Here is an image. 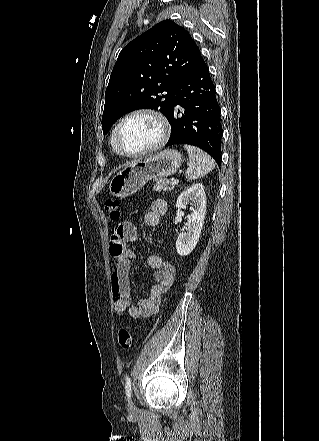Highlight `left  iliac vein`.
<instances>
[{
  "label": "left iliac vein",
  "mask_w": 319,
  "mask_h": 441,
  "mask_svg": "<svg viewBox=\"0 0 319 441\" xmlns=\"http://www.w3.org/2000/svg\"><path fill=\"white\" fill-rule=\"evenodd\" d=\"M128 407H129V410H130L131 412H135L136 407H135L134 403H133L132 401H130V400H129V402H128Z\"/></svg>",
  "instance_id": "1"
}]
</instances>
